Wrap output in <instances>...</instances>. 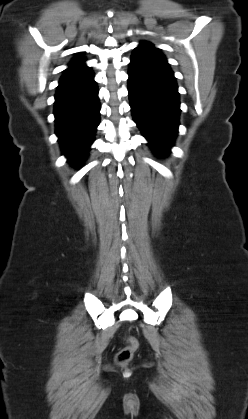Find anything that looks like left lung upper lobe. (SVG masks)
Wrapping results in <instances>:
<instances>
[{
    "label": "left lung upper lobe",
    "mask_w": 248,
    "mask_h": 419,
    "mask_svg": "<svg viewBox=\"0 0 248 419\" xmlns=\"http://www.w3.org/2000/svg\"><path fill=\"white\" fill-rule=\"evenodd\" d=\"M143 49L149 50V51H153L156 52L160 55H162L159 51V49L154 48L153 44H151L150 42H141L140 46ZM163 56V55H162Z\"/></svg>",
    "instance_id": "obj_1"
}]
</instances>
